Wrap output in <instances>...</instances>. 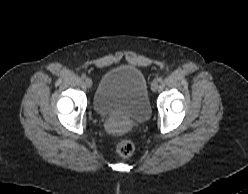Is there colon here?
I'll use <instances>...</instances> for the list:
<instances>
[{
    "label": "colon",
    "instance_id": "obj_1",
    "mask_svg": "<svg viewBox=\"0 0 248 194\" xmlns=\"http://www.w3.org/2000/svg\"><path fill=\"white\" fill-rule=\"evenodd\" d=\"M115 151L121 157L130 156L134 151V144L127 139L120 140L115 145Z\"/></svg>",
    "mask_w": 248,
    "mask_h": 194
}]
</instances>
